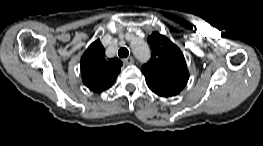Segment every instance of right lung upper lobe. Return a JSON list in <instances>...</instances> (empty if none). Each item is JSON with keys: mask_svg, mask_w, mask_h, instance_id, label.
<instances>
[{"mask_svg": "<svg viewBox=\"0 0 263 146\" xmlns=\"http://www.w3.org/2000/svg\"><path fill=\"white\" fill-rule=\"evenodd\" d=\"M83 83L94 92H102L115 82L122 66L118 58L108 59L99 39L94 41L81 57Z\"/></svg>", "mask_w": 263, "mask_h": 146, "instance_id": "1", "label": "right lung upper lobe"}]
</instances>
